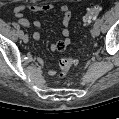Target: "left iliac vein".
<instances>
[{"instance_id": "1", "label": "left iliac vein", "mask_w": 119, "mask_h": 119, "mask_svg": "<svg viewBox=\"0 0 119 119\" xmlns=\"http://www.w3.org/2000/svg\"><path fill=\"white\" fill-rule=\"evenodd\" d=\"M100 25L99 24H95L92 31H91V34L93 37H97L99 34H100Z\"/></svg>"}]
</instances>
